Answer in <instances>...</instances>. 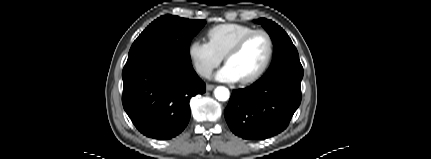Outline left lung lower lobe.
Masks as SVG:
<instances>
[{
    "mask_svg": "<svg viewBox=\"0 0 431 159\" xmlns=\"http://www.w3.org/2000/svg\"><path fill=\"white\" fill-rule=\"evenodd\" d=\"M302 78L303 69L283 68L233 90L225 109L231 131L247 140H264L284 131L300 105Z\"/></svg>",
    "mask_w": 431,
    "mask_h": 159,
    "instance_id": "1",
    "label": "left lung lower lobe"
}]
</instances>
